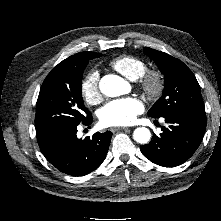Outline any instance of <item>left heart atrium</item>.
Instances as JSON below:
<instances>
[{
    "label": "left heart atrium",
    "instance_id": "left-heart-atrium-1",
    "mask_svg": "<svg viewBox=\"0 0 221 221\" xmlns=\"http://www.w3.org/2000/svg\"><path fill=\"white\" fill-rule=\"evenodd\" d=\"M144 110L142 101L137 97L115 99L99 110V120L104 126H123L134 122Z\"/></svg>",
    "mask_w": 221,
    "mask_h": 221
}]
</instances>
